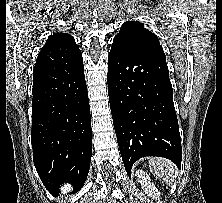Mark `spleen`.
Masks as SVG:
<instances>
[{"label":"spleen","mask_w":222,"mask_h":203,"mask_svg":"<svg viewBox=\"0 0 222 203\" xmlns=\"http://www.w3.org/2000/svg\"><path fill=\"white\" fill-rule=\"evenodd\" d=\"M149 168L157 178H162L168 186H172L178 177L176 165L161 157L149 158Z\"/></svg>","instance_id":"3e777b00"}]
</instances>
